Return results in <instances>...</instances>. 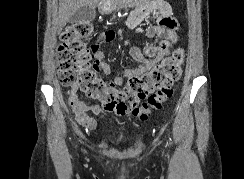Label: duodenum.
Returning a JSON list of instances; mask_svg holds the SVG:
<instances>
[{
	"label": "duodenum",
	"instance_id": "1",
	"mask_svg": "<svg viewBox=\"0 0 244 179\" xmlns=\"http://www.w3.org/2000/svg\"><path fill=\"white\" fill-rule=\"evenodd\" d=\"M103 5H104V2L103 1H100L99 2V5L96 6V9L97 10H102L103 9Z\"/></svg>",
	"mask_w": 244,
	"mask_h": 179
}]
</instances>
